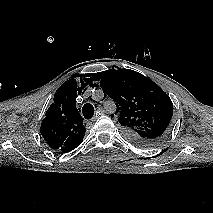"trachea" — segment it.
<instances>
[{
    "label": "trachea",
    "mask_w": 213,
    "mask_h": 213,
    "mask_svg": "<svg viewBox=\"0 0 213 213\" xmlns=\"http://www.w3.org/2000/svg\"><path fill=\"white\" fill-rule=\"evenodd\" d=\"M94 107L93 105L86 103L83 107H82V113L85 119H91L94 115Z\"/></svg>",
    "instance_id": "3493384b"
}]
</instances>
